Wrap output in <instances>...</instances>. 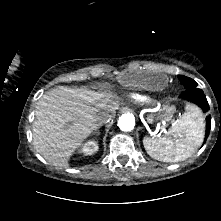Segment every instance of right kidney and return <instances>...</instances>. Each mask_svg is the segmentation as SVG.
<instances>
[{
	"mask_svg": "<svg viewBox=\"0 0 221 221\" xmlns=\"http://www.w3.org/2000/svg\"><path fill=\"white\" fill-rule=\"evenodd\" d=\"M96 151H98V144L96 141L86 142L80 150V152L84 153L85 155H92Z\"/></svg>",
	"mask_w": 221,
	"mask_h": 221,
	"instance_id": "1",
	"label": "right kidney"
}]
</instances>
